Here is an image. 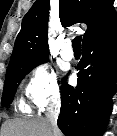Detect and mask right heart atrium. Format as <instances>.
I'll return each mask as SVG.
<instances>
[{
    "label": "right heart atrium",
    "mask_w": 117,
    "mask_h": 136,
    "mask_svg": "<svg viewBox=\"0 0 117 136\" xmlns=\"http://www.w3.org/2000/svg\"><path fill=\"white\" fill-rule=\"evenodd\" d=\"M26 96L37 108H44L60 97L58 78L46 63L36 65L26 85Z\"/></svg>",
    "instance_id": "d8ad5b80"
}]
</instances>
